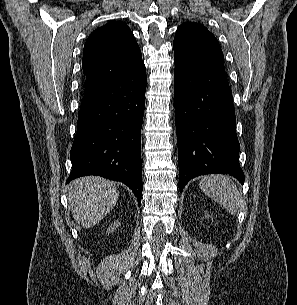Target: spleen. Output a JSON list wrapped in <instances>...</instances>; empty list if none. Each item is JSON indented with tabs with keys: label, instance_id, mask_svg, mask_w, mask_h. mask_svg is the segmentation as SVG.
<instances>
[{
	"label": "spleen",
	"instance_id": "obj_1",
	"mask_svg": "<svg viewBox=\"0 0 297 305\" xmlns=\"http://www.w3.org/2000/svg\"><path fill=\"white\" fill-rule=\"evenodd\" d=\"M205 194L223 205L231 214H236L241 204V196L236 184L229 176H205L200 182Z\"/></svg>",
	"mask_w": 297,
	"mask_h": 305
}]
</instances>
